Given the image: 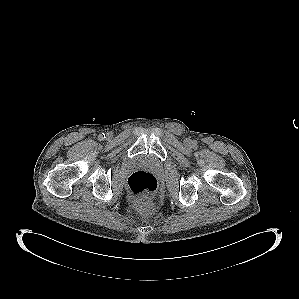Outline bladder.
Returning <instances> with one entry per match:
<instances>
[{
	"mask_svg": "<svg viewBox=\"0 0 299 299\" xmlns=\"http://www.w3.org/2000/svg\"><path fill=\"white\" fill-rule=\"evenodd\" d=\"M140 161H142V162H147V159L144 158V157H140Z\"/></svg>",
	"mask_w": 299,
	"mask_h": 299,
	"instance_id": "31cf9c89",
	"label": "bladder"
}]
</instances>
